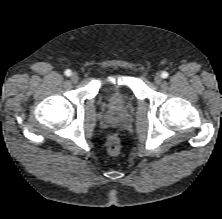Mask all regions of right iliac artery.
Instances as JSON below:
<instances>
[{
	"instance_id": "obj_1",
	"label": "right iliac artery",
	"mask_w": 222,
	"mask_h": 219,
	"mask_svg": "<svg viewBox=\"0 0 222 219\" xmlns=\"http://www.w3.org/2000/svg\"><path fill=\"white\" fill-rule=\"evenodd\" d=\"M72 73H71V70H69V69H67L66 71H65V75L66 76H70Z\"/></svg>"
}]
</instances>
